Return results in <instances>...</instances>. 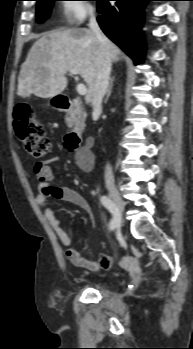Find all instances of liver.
Segmentation results:
<instances>
[{"instance_id": "1", "label": "liver", "mask_w": 193, "mask_h": 349, "mask_svg": "<svg viewBox=\"0 0 193 349\" xmlns=\"http://www.w3.org/2000/svg\"><path fill=\"white\" fill-rule=\"evenodd\" d=\"M112 61L120 58L119 48L109 41ZM100 42L86 28L53 30L44 33L31 47L18 77L17 94L26 98L59 95L67 87L66 74L79 71L88 86L86 101L90 102L96 80Z\"/></svg>"}]
</instances>
